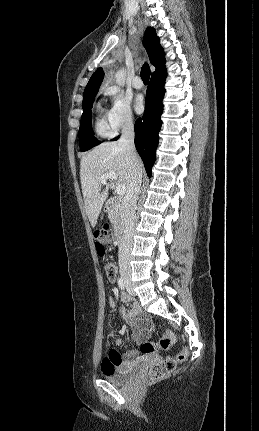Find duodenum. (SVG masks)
<instances>
[{"label":"duodenum","mask_w":259,"mask_h":431,"mask_svg":"<svg viewBox=\"0 0 259 431\" xmlns=\"http://www.w3.org/2000/svg\"><path fill=\"white\" fill-rule=\"evenodd\" d=\"M114 203H115L114 200H108L106 202V204H105V210L106 211H110L111 208H112V206L114 205ZM121 240H122V231L118 230V232L116 233V243L118 245H120L121 244Z\"/></svg>","instance_id":"1"}]
</instances>
